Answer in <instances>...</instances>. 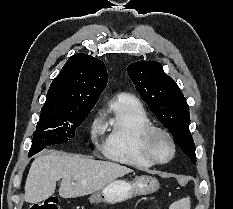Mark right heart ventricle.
Here are the masks:
<instances>
[{
    "mask_svg": "<svg viewBox=\"0 0 233 209\" xmlns=\"http://www.w3.org/2000/svg\"><path fill=\"white\" fill-rule=\"evenodd\" d=\"M102 123L107 135L101 150L107 158L139 168L155 164L146 157L141 145L143 133L152 121L134 96L122 93L114 97Z\"/></svg>",
    "mask_w": 233,
    "mask_h": 209,
    "instance_id": "obj_1",
    "label": "right heart ventricle"
}]
</instances>
